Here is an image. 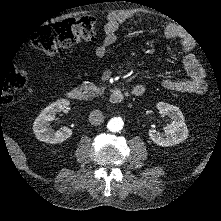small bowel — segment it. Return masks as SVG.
<instances>
[{
  "label": "small bowel",
  "instance_id": "obj_1",
  "mask_svg": "<svg viewBox=\"0 0 221 221\" xmlns=\"http://www.w3.org/2000/svg\"><path fill=\"white\" fill-rule=\"evenodd\" d=\"M138 16V13L134 11H120L112 12L107 16V24L104 28V38L102 42L96 47L95 54L97 57L102 58L111 54L110 47L117 40V31L122 23L126 20ZM166 36L169 38H175L177 32L175 29L168 27L165 30ZM180 47L185 53L182 64L189 75V79H164L162 86L170 91L191 93V94H203L206 89L205 83V71L196 60L191 50L193 43L190 39L184 38L180 40Z\"/></svg>",
  "mask_w": 221,
  "mask_h": 221
}]
</instances>
